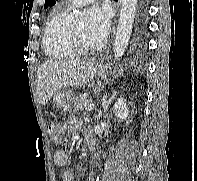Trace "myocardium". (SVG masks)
<instances>
[{"label":"myocardium","instance_id":"myocardium-1","mask_svg":"<svg viewBox=\"0 0 197 181\" xmlns=\"http://www.w3.org/2000/svg\"><path fill=\"white\" fill-rule=\"evenodd\" d=\"M70 39L73 47L80 54H91L98 51L101 47L100 44H97L95 46H88L85 43H83V41L80 39L79 35L77 34L74 26H71L70 29Z\"/></svg>","mask_w":197,"mask_h":181}]
</instances>
